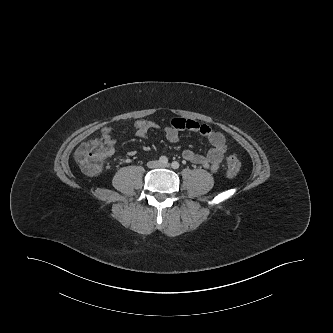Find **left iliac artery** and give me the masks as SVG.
Instances as JSON below:
<instances>
[{"label": "left iliac artery", "instance_id": "left-iliac-artery-1", "mask_svg": "<svg viewBox=\"0 0 333 333\" xmlns=\"http://www.w3.org/2000/svg\"><path fill=\"white\" fill-rule=\"evenodd\" d=\"M171 166L173 169H178L180 164L177 161H174V162H172Z\"/></svg>", "mask_w": 333, "mask_h": 333}]
</instances>
